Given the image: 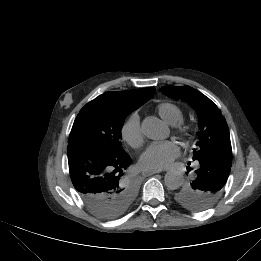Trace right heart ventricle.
<instances>
[{
    "label": "right heart ventricle",
    "mask_w": 261,
    "mask_h": 261,
    "mask_svg": "<svg viewBox=\"0 0 261 261\" xmlns=\"http://www.w3.org/2000/svg\"><path fill=\"white\" fill-rule=\"evenodd\" d=\"M156 111L161 118L171 125H176L183 119V110L176 103L164 101L157 105Z\"/></svg>",
    "instance_id": "right-heart-ventricle-1"
}]
</instances>
